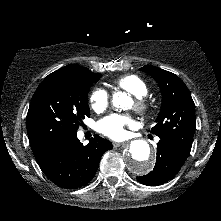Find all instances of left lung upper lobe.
Here are the masks:
<instances>
[{"label": "left lung upper lobe", "instance_id": "left-lung-upper-lobe-1", "mask_svg": "<svg viewBox=\"0 0 221 221\" xmlns=\"http://www.w3.org/2000/svg\"><path fill=\"white\" fill-rule=\"evenodd\" d=\"M150 74L162 93V105L151 133L172 144L188 157L195 132V105L185 83L175 74L146 65L140 69Z\"/></svg>", "mask_w": 221, "mask_h": 221}]
</instances>
